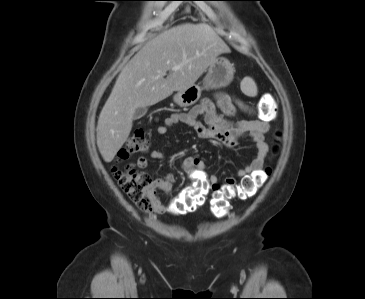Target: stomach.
<instances>
[{
	"mask_svg": "<svg viewBox=\"0 0 365 299\" xmlns=\"http://www.w3.org/2000/svg\"><path fill=\"white\" fill-rule=\"evenodd\" d=\"M234 71L233 64L227 58L217 57L208 67L203 80L204 87L220 88L227 86L233 80ZM201 91L202 88L194 84L185 90L178 91L173 96V100L181 107L191 106L199 100Z\"/></svg>",
	"mask_w": 365,
	"mask_h": 299,
	"instance_id": "1",
	"label": "stomach"
}]
</instances>
